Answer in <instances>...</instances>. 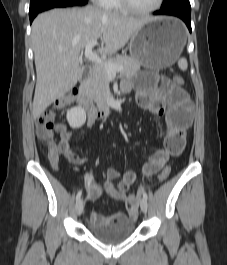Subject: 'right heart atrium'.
Returning a JSON list of instances; mask_svg holds the SVG:
<instances>
[{
	"mask_svg": "<svg viewBox=\"0 0 227 265\" xmlns=\"http://www.w3.org/2000/svg\"><path fill=\"white\" fill-rule=\"evenodd\" d=\"M92 1L102 7H105L108 2V0H92Z\"/></svg>",
	"mask_w": 227,
	"mask_h": 265,
	"instance_id": "right-heart-atrium-1",
	"label": "right heart atrium"
}]
</instances>
